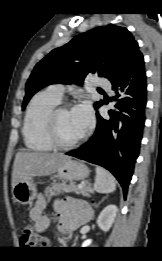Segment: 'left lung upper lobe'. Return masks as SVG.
<instances>
[{"label": "left lung upper lobe", "instance_id": "1", "mask_svg": "<svg viewBox=\"0 0 162 261\" xmlns=\"http://www.w3.org/2000/svg\"><path fill=\"white\" fill-rule=\"evenodd\" d=\"M143 55L138 43L124 27H97L52 50L32 71L26 83L22 108L30 98L50 84H81L89 73L111 82L135 66ZM103 104L95 103V108Z\"/></svg>", "mask_w": 162, "mask_h": 261}]
</instances>
